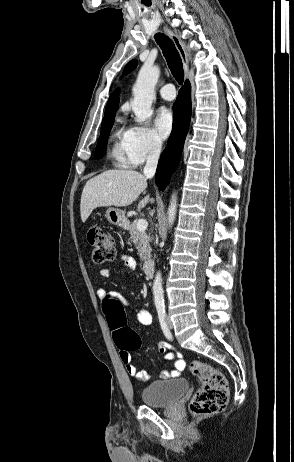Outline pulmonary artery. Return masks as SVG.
I'll return each mask as SVG.
<instances>
[{"label": "pulmonary artery", "mask_w": 294, "mask_h": 462, "mask_svg": "<svg viewBox=\"0 0 294 462\" xmlns=\"http://www.w3.org/2000/svg\"><path fill=\"white\" fill-rule=\"evenodd\" d=\"M160 96L166 101H172L176 97V92L173 84H167L160 89Z\"/></svg>", "instance_id": "e3ab8cb5"}]
</instances>
